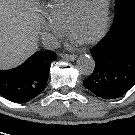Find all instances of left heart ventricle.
<instances>
[{"label": "left heart ventricle", "mask_w": 135, "mask_h": 135, "mask_svg": "<svg viewBox=\"0 0 135 135\" xmlns=\"http://www.w3.org/2000/svg\"><path fill=\"white\" fill-rule=\"evenodd\" d=\"M106 0H87L83 16L71 28V37L83 43L93 37L99 30L102 22Z\"/></svg>", "instance_id": "left-heart-ventricle-1"}]
</instances>
